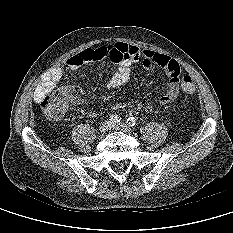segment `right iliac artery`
I'll list each match as a JSON object with an SVG mask.
<instances>
[{"instance_id":"82829eb1","label":"right iliac artery","mask_w":233,"mask_h":233,"mask_svg":"<svg viewBox=\"0 0 233 233\" xmlns=\"http://www.w3.org/2000/svg\"><path fill=\"white\" fill-rule=\"evenodd\" d=\"M109 120H110V122L112 123H116V122H120L121 121V118L118 116V115H116V114H114V115H111L110 116V118H109Z\"/></svg>"}]
</instances>
